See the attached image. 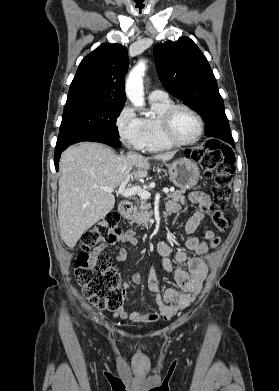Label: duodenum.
I'll list each match as a JSON object with an SVG mask.
<instances>
[{
  "label": "duodenum",
  "mask_w": 279,
  "mask_h": 391,
  "mask_svg": "<svg viewBox=\"0 0 279 391\" xmlns=\"http://www.w3.org/2000/svg\"><path fill=\"white\" fill-rule=\"evenodd\" d=\"M133 209L130 201H121L119 204V212L123 217H128Z\"/></svg>",
  "instance_id": "1"
}]
</instances>
